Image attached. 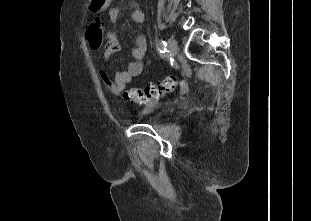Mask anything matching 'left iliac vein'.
I'll list each match as a JSON object with an SVG mask.
<instances>
[{"mask_svg":"<svg viewBox=\"0 0 311 221\" xmlns=\"http://www.w3.org/2000/svg\"><path fill=\"white\" fill-rule=\"evenodd\" d=\"M168 49H169V52H170V55L171 56H175L178 52V45H177V42L174 38H169L168 39Z\"/></svg>","mask_w":311,"mask_h":221,"instance_id":"obj_1","label":"left iliac vein"}]
</instances>
